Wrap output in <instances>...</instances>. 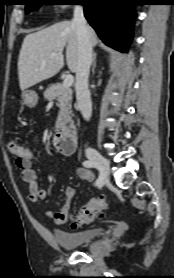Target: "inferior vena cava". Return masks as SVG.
I'll use <instances>...</instances> for the list:
<instances>
[{"label":"inferior vena cava","mask_w":174,"mask_h":278,"mask_svg":"<svg viewBox=\"0 0 174 278\" xmlns=\"http://www.w3.org/2000/svg\"><path fill=\"white\" fill-rule=\"evenodd\" d=\"M72 23L76 27L78 37V64L75 83L77 105L83 118L89 120L92 114V102L88 89V77L92 64V45L82 6H75ZM87 151H92V149L89 148Z\"/></svg>","instance_id":"inferior-vena-cava-1"}]
</instances>
